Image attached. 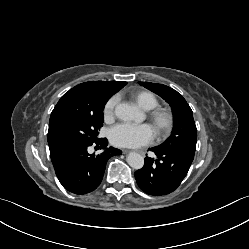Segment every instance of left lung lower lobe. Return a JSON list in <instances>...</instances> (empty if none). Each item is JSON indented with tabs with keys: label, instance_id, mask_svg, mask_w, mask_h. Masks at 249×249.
I'll return each mask as SVG.
<instances>
[{
	"label": "left lung lower lobe",
	"instance_id": "left-lung-lower-lobe-1",
	"mask_svg": "<svg viewBox=\"0 0 249 249\" xmlns=\"http://www.w3.org/2000/svg\"><path fill=\"white\" fill-rule=\"evenodd\" d=\"M156 159L146 157L142 169L135 172L138 186L153 196L166 195L178 188L186 176L194 155L181 151L151 149Z\"/></svg>",
	"mask_w": 249,
	"mask_h": 249
}]
</instances>
